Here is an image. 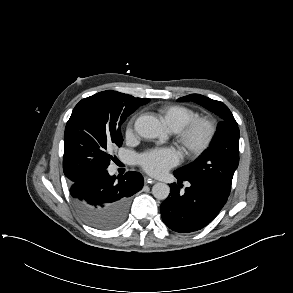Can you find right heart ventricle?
Masks as SVG:
<instances>
[{
  "label": "right heart ventricle",
  "mask_w": 293,
  "mask_h": 293,
  "mask_svg": "<svg viewBox=\"0 0 293 293\" xmlns=\"http://www.w3.org/2000/svg\"><path fill=\"white\" fill-rule=\"evenodd\" d=\"M159 114L165 126L172 132L178 131L198 115L194 109L179 104L164 105L159 108Z\"/></svg>",
  "instance_id": "right-heart-ventricle-1"
}]
</instances>
